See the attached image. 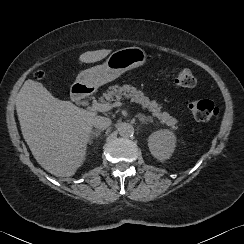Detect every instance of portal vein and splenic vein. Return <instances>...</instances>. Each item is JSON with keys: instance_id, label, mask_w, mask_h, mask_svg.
<instances>
[{"instance_id": "1", "label": "portal vein and splenic vein", "mask_w": 244, "mask_h": 244, "mask_svg": "<svg viewBox=\"0 0 244 244\" xmlns=\"http://www.w3.org/2000/svg\"><path fill=\"white\" fill-rule=\"evenodd\" d=\"M122 105V102H115L113 104L93 102L91 108L96 111H108L112 107H121Z\"/></svg>"}]
</instances>
